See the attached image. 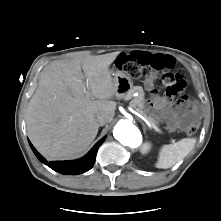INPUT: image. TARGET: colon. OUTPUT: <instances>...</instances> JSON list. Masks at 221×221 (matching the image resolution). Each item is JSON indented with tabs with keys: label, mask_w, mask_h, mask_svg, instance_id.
I'll return each mask as SVG.
<instances>
[{
	"label": "colon",
	"mask_w": 221,
	"mask_h": 221,
	"mask_svg": "<svg viewBox=\"0 0 221 221\" xmlns=\"http://www.w3.org/2000/svg\"><path fill=\"white\" fill-rule=\"evenodd\" d=\"M173 57L163 54L149 55L144 52H138L136 58L132 59L125 53L120 54L117 58V67L120 71L132 78L151 79L159 77L166 89L168 96L183 94L188 88L187 79L180 73L170 71L174 66ZM198 113L190 118L191 122L185 127L187 135H193L198 130L197 122Z\"/></svg>",
	"instance_id": "5ec220e1"
}]
</instances>
